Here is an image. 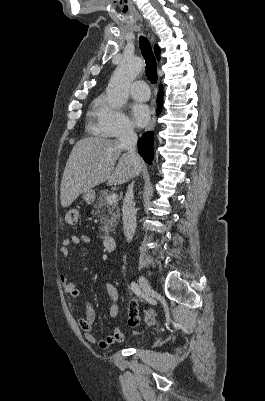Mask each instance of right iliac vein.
<instances>
[{"label":"right iliac vein","mask_w":265,"mask_h":401,"mask_svg":"<svg viewBox=\"0 0 265 401\" xmlns=\"http://www.w3.org/2000/svg\"><path fill=\"white\" fill-rule=\"evenodd\" d=\"M139 283H140V286L143 289L145 295L149 296L152 293L153 289H152L151 284L147 280V278L144 277V276H140L139 277Z\"/></svg>","instance_id":"right-iliac-vein-1"}]
</instances>
